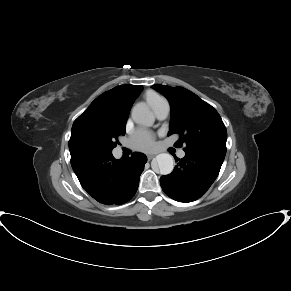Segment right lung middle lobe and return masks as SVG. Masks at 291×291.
<instances>
[{
  "label": "right lung middle lobe",
  "mask_w": 291,
  "mask_h": 291,
  "mask_svg": "<svg viewBox=\"0 0 291 291\" xmlns=\"http://www.w3.org/2000/svg\"><path fill=\"white\" fill-rule=\"evenodd\" d=\"M125 134V125H109L102 128H87L76 138L80 154H109L119 144L117 137Z\"/></svg>",
  "instance_id": "1"
}]
</instances>
